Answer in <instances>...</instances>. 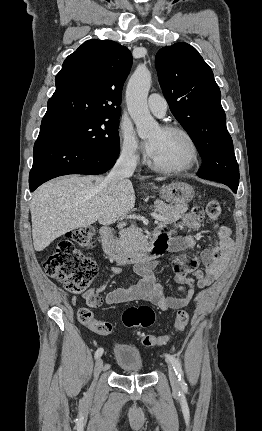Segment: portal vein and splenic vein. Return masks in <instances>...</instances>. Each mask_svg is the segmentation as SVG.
<instances>
[{"instance_id": "18ae733b", "label": "portal vein and splenic vein", "mask_w": 262, "mask_h": 431, "mask_svg": "<svg viewBox=\"0 0 262 431\" xmlns=\"http://www.w3.org/2000/svg\"><path fill=\"white\" fill-rule=\"evenodd\" d=\"M151 215H152V217H153L155 220H157V221H164V220H165V218H164L163 216L158 215V214H156V213H153V214H151Z\"/></svg>"}]
</instances>
